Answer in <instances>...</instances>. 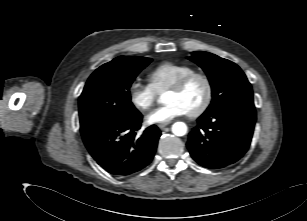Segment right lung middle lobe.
I'll return each instance as SVG.
<instances>
[{
	"instance_id": "right-lung-middle-lobe-1",
	"label": "right lung middle lobe",
	"mask_w": 307,
	"mask_h": 221,
	"mask_svg": "<svg viewBox=\"0 0 307 221\" xmlns=\"http://www.w3.org/2000/svg\"><path fill=\"white\" fill-rule=\"evenodd\" d=\"M151 58L120 56L99 67L88 79L79 97L82 136L108 123L125 121L139 111L130 97V86Z\"/></svg>"
}]
</instances>
